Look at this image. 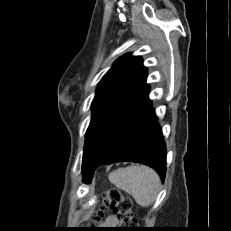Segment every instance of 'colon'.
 <instances>
[{
	"label": "colon",
	"instance_id": "obj_1",
	"mask_svg": "<svg viewBox=\"0 0 231 231\" xmlns=\"http://www.w3.org/2000/svg\"><path fill=\"white\" fill-rule=\"evenodd\" d=\"M132 207L133 203L130 198L124 196L118 189L110 188L103 192V202L98 217L100 218L104 211L111 209L115 213L118 222L123 226H130L136 222Z\"/></svg>",
	"mask_w": 231,
	"mask_h": 231
}]
</instances>
